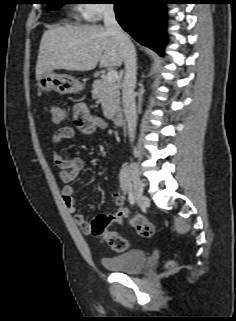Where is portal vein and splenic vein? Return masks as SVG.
<instances>
[{"label": "portal vein and splenic vein", "instance_id": "1", "mask_svg": "<svg viewBox=\"0 0 236 321\" xmlns=\"http://www.w3.org/2000/svg\"><path fill=\"white\" fill-rule=\"evenodd\" d=\"M106 79L109 83H115L118 79V72L117 71H109L106 75Z\"/></svg>", "mask_w": 236, "mask_h": 321}]
</instances>
